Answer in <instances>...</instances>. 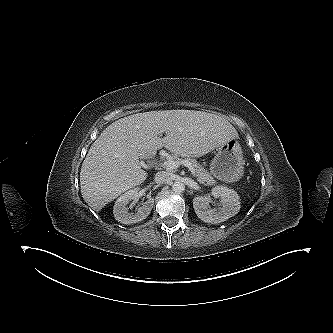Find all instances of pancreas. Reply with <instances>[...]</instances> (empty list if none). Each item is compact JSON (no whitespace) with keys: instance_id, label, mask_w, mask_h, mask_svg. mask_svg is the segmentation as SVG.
<instances>
[{"instance_id":"cf45deb5","label":"pancreas","mask_w":333,"mask_h":333,"mask_svg":"<svg viewBox=\"0 0 333 333\" xmlns=\"http://www.w3.org/2000/svg\"><path fill=\"white\" fill-rule=\"evenodd\" d=\"M176 161H179V160H176ZM184 161L190 163L193 166L196 177H197V181L200 184H203L206 186H211L216 183V181L210 175V173L206 169H204L199 163H197V161L195 159L186 158Z\"/></svg>"}]
</instances>
